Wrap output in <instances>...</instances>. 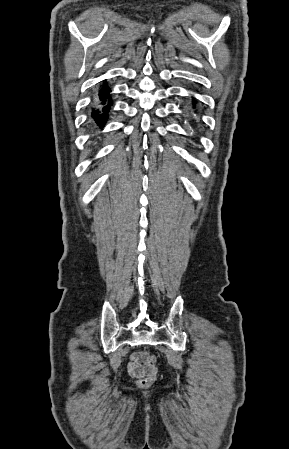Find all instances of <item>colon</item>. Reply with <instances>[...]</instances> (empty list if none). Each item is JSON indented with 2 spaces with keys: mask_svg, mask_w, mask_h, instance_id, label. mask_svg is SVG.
Segmentation results:
<instances>
[{
  "mask_svg": "<svg viewBox=\"0 0 289 449\" xmlns=\"http://www.w3.org/2000/svg\"><path fill=\"white\" fill-rule=\"evenodd\" d=\"M146 359H147V362L151 366L156 367L157 358H156L155 355L147 353ZM156 375H157V372H151V373H149V374L139 378L138 379V385L141 386V387H148V386H150L155 381Z\"/></svg>",
  "mask_w": 289,
  "mask_h": 449,
  "instance_id": "1",
  "label": "colon"
}]
</instances>
